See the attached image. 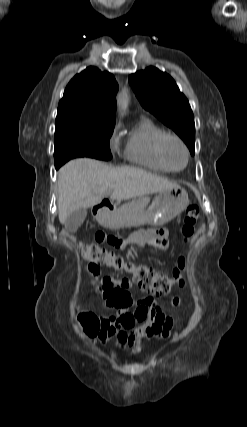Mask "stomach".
<instances>
[{
	"instance_id": "0dacf381",
	"label": "stomach",
	"mask_w": 247,
	"mask_h": 427,
	"mask_svg": "<svg viewBox=\"0 0 247 427\" xmlns=\"http://www.w3.org/2000/svg\"><path fill=\"white\" fill-rule=\"evenodd\" d=\"M188 204L187 191L177 186L159 192L146 211L122 215L117 210H101L96 214L95 218L99 224L109 229L140 226L142 224L159 226L180 215Z\"/></svg>"
}]
</instances>
